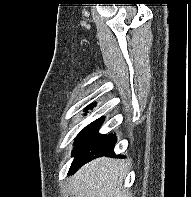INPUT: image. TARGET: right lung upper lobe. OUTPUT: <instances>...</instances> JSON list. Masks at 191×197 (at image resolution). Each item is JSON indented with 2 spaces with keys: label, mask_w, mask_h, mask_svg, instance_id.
Listing matches in <instances>:
<instances>
[{
  "label": "right lung upper lobe",
  "mask_w": 191,
  "mask_h": 197,
  "mask_svg": "<svg viewBox=\"0 0 191 197\" xmlns=\"http://www.w3.org/2000/svg\"><path fill=\"white\" fill-rule=\"evenodd\" d=\"M93 106H94L93 104L90 105L89 107L86 108V110L92 108Z\"/></svg>",
  "instance_id": "1"
}]
</instances>
